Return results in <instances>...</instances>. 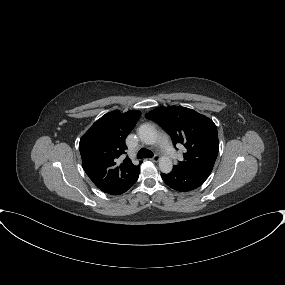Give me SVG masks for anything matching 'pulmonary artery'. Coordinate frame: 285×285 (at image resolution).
<instances>
[{
  "label": "pulmonary artery",
  "mask_w": 285,
  "mask_h": 285,
  "mask_svg": "<svg viewBox=\"0 0 285 285\" xmlns=\"http://www.w3.org/2000/svg\"><path fill=\"white\" fill-rule=\"evenodd\" d=\"M159 139H160V143L164 149L165 154L169 157H174L176 155V153L170 144V140H169L168 136L166 134L162 133V134H160Z\"/></svg>",
  "instance_id": "e3ab8cb5"
}]
</instances>
